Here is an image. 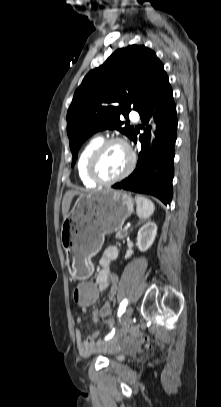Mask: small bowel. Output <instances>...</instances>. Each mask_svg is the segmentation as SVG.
Segmentation results:
<instances>
[{
	"instance_id": "1",
	"label": "small bowel",
	"mask_w": 221,
	"mask_h": 407,
	"mask_svg": "<svg viewBox=\"0 0 221 407\" xmlns=\"http://www.w3.org/2000/svg\"><path fill=\"white\" fill-rule=\"evenodd\" d=\"M118 258V250L115 246L107 247L99 259V268L97 270L95 276V282L97 284V291L98 293H105L109 292V299L112 300L117 291V282L118 277L117 275L111 273L110 265L113 261ZM85 283V282H82ZM104 305H110V303H105ZM90 312L92 314H99L101 312V307L99 305H92L90 307ZM95 321V318H94ZM77 322H81V318H77ZM108 324L111 325L110 322ZM76 343L78 351L81 355L87 356L90 355L97 350H99L100 346L98 343L99 332H94L83 338L82 333L80 330H76ZM112 345V344H111ZM110 346V345H109Z\"/></svg>"
}]
</instances>
